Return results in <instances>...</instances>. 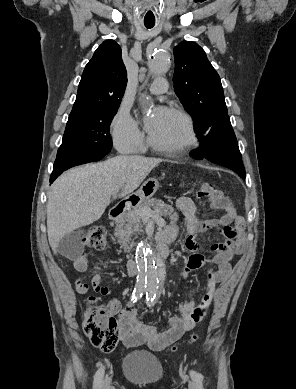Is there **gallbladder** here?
Wrapping results in <instances>:
<instances>
[{
	"mask_svg": "<svg viewBox=\"0 0 296 389\" xmlns=\"http://www.w3.org/2000/svg\"><path fill=\"white\" fill-rule=\"evenodd\" d=\"M83 233V230H77L62 237L57 247L59 253L69 258L79 257L84 251L81 243Z\"/></svg>",
	"mask_w": 296,
	"mask_h": 389,
	"instance_id": "1",
	"label": "gallbladder"
}]
</instances>
